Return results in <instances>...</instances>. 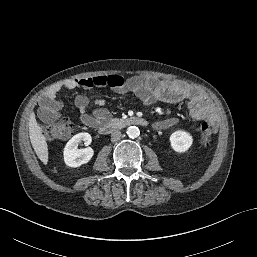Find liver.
<instances>
[{
    "label": "liver",
    "instance_id": "1",
    "mask_svg": "<svg viewBox=\"0 0 257 257\" xmlns=\"http://www.w3.org/2000/svg\"><path fill=\"white\" fill-rule=\"evenodd\" d=\"M29 137L33 149L43 164L48 163V146L46 138L42 134V129L37 123L34 112L31 113L29 118Z\"/></svg>",
    "mask_w": 257,
    "mask_h": 257
}]
</instances>
